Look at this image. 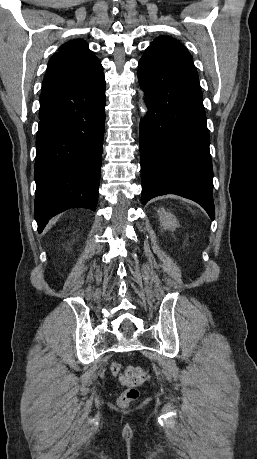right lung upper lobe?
<instances>
[{
	"mask_svg": "<svg viewBox=\"0 0 257 459\" xmlns=\"http://www.w3.org/2000/svg\"><path fill=\"white\" fill-rule=\"evenodd\" d=\"M103 74L97 57L84 40L63 44L49 60L42 93L77 86Z\"/></svg>",
	"mask_w": 257,
	"mask_h": 459,
	"instance_id": "cb5924a9",
	"label": "right lung upper lobe"
}]
</instances>
